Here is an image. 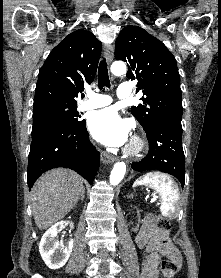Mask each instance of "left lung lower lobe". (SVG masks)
<instances>
[{"instance_id": "obj_1", "label": "left lung lower lobe", "mask_w": 221, "mask_h": 278, "mask_svg": "<svg viewBox=\"0 0 221 278\" xmlns=\"http://www.w3.org/2000/svg\"><path fill=\"white\" fill-rule=\"evenodd\" d=\"M149 142L147 156L133 163L135 172L158 170L175 176L184 187L185 166L182 148V126L173 121H162L146 132Z\"/></svg>"}]
</instances>
